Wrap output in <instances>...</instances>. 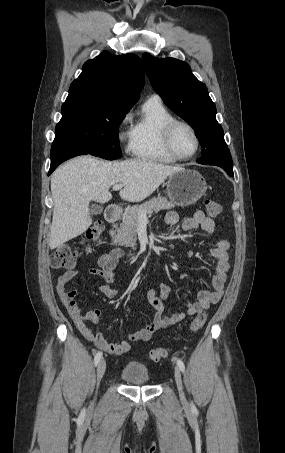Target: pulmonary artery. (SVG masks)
Returning a JSON list of instances; mask_svg holds the SVG:
<instances>
[{"label":"pulmonary artery","instance_id":"1","mask_svg":"<svg viewBox=\"0 0 285 453\" xmlns=\"http://www.w3.org/2000/svg\"><path fill=\"white\" fill-rule=\"evenodd\" d=\"M151 98H152V99H158V100H159V97H158L157 95H153Z\"/></svg>","mask_w":285,"mask_h":453}]
</instances>
